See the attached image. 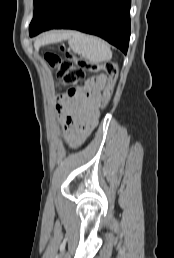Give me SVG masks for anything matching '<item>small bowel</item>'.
<instances>
[{"mask_svg": "<svg viewBox=\"0 0 174 258\" xmlns=\"http://www.w3.org/2000/svg\"><path fill=\"white\" fill-rule=\"evenodd\" d=\"M108 81L104 74L92 77L78 90L75 97L67 93L56 100L64 133L72 147L80 146L86 136L96 127L103 97L100 90Z\"/></svg>", "mask_w": 174, "mask_h": 258, "instance_id": "small-bowel-1", "label": "small bowel"}]
</instances>
